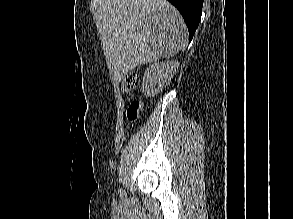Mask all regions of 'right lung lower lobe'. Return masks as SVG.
Here are the masks:
<instances>
[{
	"mask_svg": "<svg viewBox=\"0 0 293 219\" xmlns=\"http://www.w3.org/2000/svg\"><path fill=\"white\" fill-rule=\"evenodd\" d=\"M181 13L189 30V41L192 40L193 35L199 25L203 0H168Z\"/></svg>",
	"mask_w": 293,
	"mask_h": 219,
	"instance_id": "98d812e1",
	"label": "right lung lower lobe"
}]
</instances>
